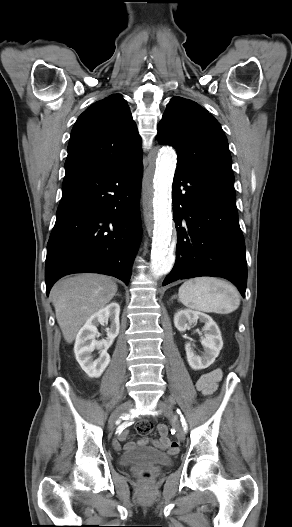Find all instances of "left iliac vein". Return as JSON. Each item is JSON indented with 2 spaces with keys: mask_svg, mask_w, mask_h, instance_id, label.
<instances>
[{
  "mask_svg": "<svg viewBox=\"0 0 292 527\" xmlns=\"http://www.w3.org/2000/svg\"><path fill=\"white\" fill-rule=\"evenodd\" d=\"M157 407L163 413L164 416H166L168 419H170L173 422L174 427L176 429L177 439L179 441H184L185 431L180 425V422L178 421V419L175 417L172 407L169 404L165 403L164 401H159L157 404Z\"/></svg>",
  "mask_w": 292,
  "mask_h": 527,
  "instance_id": "1",
  "label": "left iliac vein"
}]
</instances>
